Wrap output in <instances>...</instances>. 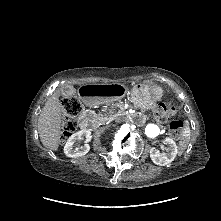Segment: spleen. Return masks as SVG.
<instances>
[{"mask_svg":"<svg viewBox=\"0 0 221 221\" xmlns=\"http://www.w3.org/2000/svg\"><path fill=\"white\" fill-rule=\"evenodd\" d=\"M189 139H190V129H189V127H186L185 130H184L183 139H182L183 149L186 148V146L189 142Z\"/></svg>","mask_w":221,"mask_h":221,"instance_id":"3e777b00","label":"spleen"}]
</instances>
